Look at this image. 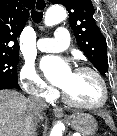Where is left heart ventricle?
Wrapping results in <instances>:
<instances>
[{"label": "left heart ventricle", "mask_w": 117, "mask_h": 136, "mask_svg": "<svg viewBox=\"0 0 117 136\" xmlns=\"http://www.w3.org/2000/svg\"><path fill=\"white\" fill-rule=\"evenodd\" d=\"M64 91L74 101L86 104L96 103L102 96L98 80L89 72H73Z\"/></svg>", "instance_id": "b2bd125f"}]
</instances>
